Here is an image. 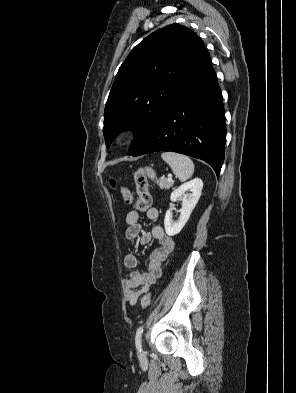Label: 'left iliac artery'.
I'll return each mask as SVG.
<instances>
[{"label": "left iliac artery", "instance_id": "left-iliac-artery-1", "mask_svg": "<svg viewBox=\"0 0 296 393\" xmlns=\"http://www.w3.org/2000/svg\"><path fill=\"white\" fill-rule=\"evenodd\" d=\"M142 333H143V326H140L137 329V332L135 335V344H136V348L139 352L142 351V348H141V335H142Z\"/></svg>", "mask_w": 296, "mask_h": 393}]
</instances>
